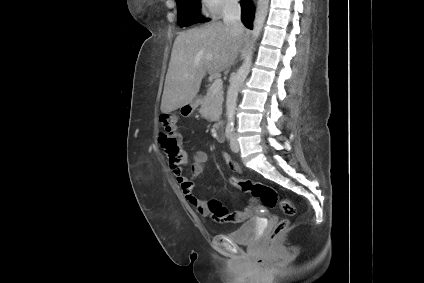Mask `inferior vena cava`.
Wrapping results in <instances>:
<instances>
[{
	"label": "inferior vena cava",
	"mask_w": 424,
	"mask_h": 283,
	"mask_svg": "<svg viewBox=\"0 0 424 283\" xmlns=\"http://www.w3.org/2000/svg\"><path fill=\"white\" fill-rule=\"evenodd\" d=\"M223 22L235 36L243 32L239 0H228L224 7Z\"/></svg>",
	"instance_id": "602c4592"
}]
</instances>
